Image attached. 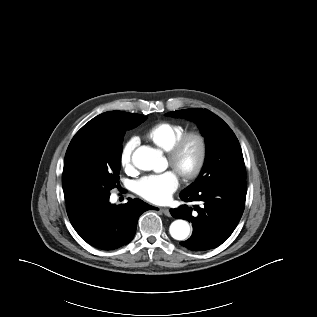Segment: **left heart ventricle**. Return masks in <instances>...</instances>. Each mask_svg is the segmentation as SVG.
Returning <instances> with one entry per match:
<instances>
[{"label":"left heart ventricle","mask_w":317,"mask_h":317,"mask_svg":"<svg viewBox=\"0 0 317 317\" xmlns=\"http://www.w3.org/2000/svg\"><path fill=\"white\" fill-rule=\"evenodd\" d=\"M196 153H197L196 144L195 143L189 144V146L186 148L182 157L183 165L185 166L191 165L196 157Z\"/></svg>","instance_id":"b2bd125f"}]
</instances>
